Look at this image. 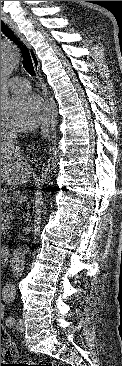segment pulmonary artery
<instances>
[{"label": "pulmonary artery", "mask_w": 122, "mask_h": 366, "mask_svg": "<svg viewBox=\"0 0 122 366\" xmlns=\"http://www.w3.org/2000/svg\"><path fill=\"white\" fill-rule=\"evenodd\" d=\"M7 86L9 87V89L17 94H21V93H25L28 92L30 90V83L27 79L22 78V77H13L11 78L8 83Z\"/></svg>", "instance_id": "1"}]
</instances>
